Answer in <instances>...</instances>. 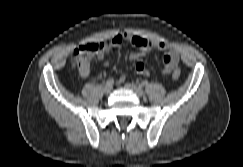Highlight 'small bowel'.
Wrapping results in <instances>:
<instances>
[{"mask_svg":"<svg viewBox=\"0 0 243 167\" xmlns=\"http://www.w3.org/2000/svg\"><path fill=\"white\" fill-rule=\"evenodd\" d=\"M127 42L133 45L137 50L129 54L131 61H136L135 72L140 75H148L149 71L146 69L141 59L151 50L159 49L166 51V55L162 59L163 74H170L178 65L179 56L178 53L173 49L171 45L163 41H156L143 37L140 35H134L128 32L119 33L110 40H106L100 43V48L97 52L98 59L104 64L108 65L107 57L112 47L118 46L119 44ZM126 76L122 75L119 78V83H124Z\"/></svg>","mask_w":243,"mask_h":167,"instance_id":"obj_1","label":"small bowel"}]
</instances>
